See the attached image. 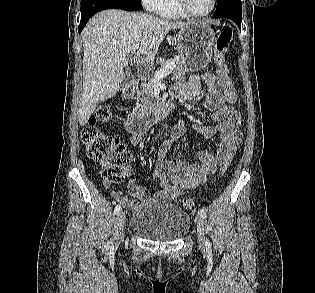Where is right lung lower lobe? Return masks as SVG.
Instances as JSON below:
<instances>
[{
	"label": "right lung lower lobe",
	"mask_w": 315,
	"mask_h": 293,
	"mask_svg": "<svg viewBox=\"0 0 315 293\" xmlns=\"http://www.w3.org/2000/svg\"><path fill=\"white\" fill-rule=\"evenodd\" d=\"M109 8L136 11L141 10L142 5L140 0H81V21L78 28L79 33L82 31L90 17L101 10Z\"/></svg>",
	"instance_id": "obj_1"
}]
</instances>
